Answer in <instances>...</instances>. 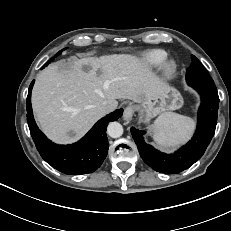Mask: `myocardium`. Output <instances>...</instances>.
Masks as SVG:
<instances>
[{"mask_svg":"<svg viewBox=\"0 0 231 231\" xmlns=\"http://www.w3.org/2000/svg\"><path fill=\"white\" fill-rule=\"evenodd\" d=\"M178 71V64L173 59H166L161 66L160 72L165 80H171Z\"/></svg>","mask_w":231,"mask_h":231,"instance_id":"f54148a6","label":"myocardium"}]
</instances>
